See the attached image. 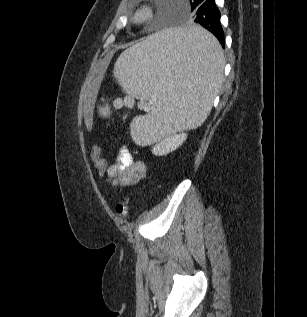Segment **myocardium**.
Listing matches in <instances>:
<instances>
[{
	"label": "myocardium",
	"instance_id": "1",
	"mask_svg": "<svg viewBox=\"0 0 307 317\" xmlns=\"http://www.w3.org/2000/svg\"><path fill=\"white\" fill-rule=\"evenodd\" d=\"M154 13V6L151 3H144L134 11L131 21L135 25H143L153 17Z\"/></svg>",
	"mask_w": 307,
	"mask_h": 317
}]
</instances>
